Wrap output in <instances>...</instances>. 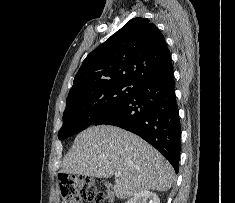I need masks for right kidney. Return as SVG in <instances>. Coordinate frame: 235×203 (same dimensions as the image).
Returning a JSON list of instances; mask_svg holds the SVG:
<instances>
[{
    "instance_id": "obj_1",
    "label": "right kidney",
    "mask_w": 235,
    "mask_h": 203,
    "mask_svg": "<svg viewBox=\"0 0 235 203\" xmlns=\"http://www.w3.org/2000/svg\"><path fill=\"white\" fill-rule=\"evenodd\" d=\"M125 203H160V199L153 192L142 191L134 195L133 198L129 199Z\"/></svg>"
}]
</instances>
